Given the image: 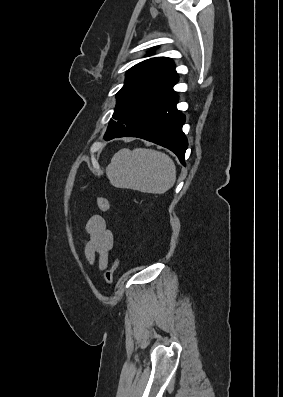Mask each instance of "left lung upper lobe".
Instances as JSON below:
<instances>
[{"mask_svg":"<svg viewBox=\"0 0 283 397\" xmlns=\"http://www.w3.org/2000/svg\"><path fill=\"white\" fill-rule=\"evenodd\" d=\"M178 81L175 65L170 58L155 57L142 61L126 73L125 83L116 94L117 104L105 138L124 131L138 117L172 96Z\"/></svg>","mask_w":283,"mask_h":397,"instance_id":"obj_1","label":"left lung upper lobe"}]
</instances>
